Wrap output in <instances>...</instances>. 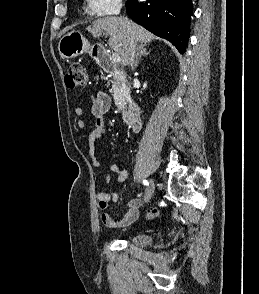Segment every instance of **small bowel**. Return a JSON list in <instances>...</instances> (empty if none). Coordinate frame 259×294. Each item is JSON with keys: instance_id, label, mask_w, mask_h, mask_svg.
<instances>
[{"instance_id": "obj_1", "label": "small bowel", "mask_w": 259, "mask_h": 294, "mask_svg": "<svg viewBox=\"0 0 259 294\" xmlns=\"http://www.w3.org/2000/svg\"><path fill=\"white\" fill-rule=\"evenodd\" d=\"M111 106V98L105 92H98L93 98L91 105V115L94 118V127L87 133L88 155L92 164L97 168H105L106 174L104 176V182L108 184L110 182V176L108 173L116 174L118 182H125L129 179V172L127 170H121L116 164H111L105 167L95 156L96 142L101 138L105 132L104 116L108 112ZM74 114L77 117L83 115V109L80 107L75 108ZM77 126L80 129H85V122L82 119L77 121ZM99 208L102 210L101 220L103 224L114 230L123 229L132 224L139 215V208L141 207V199L136 197L131 199L127 203V211L120 219H114L108 212L109 203L115 201L117 198L112 192L101 191L98 194Z\"/></svg>"}]
</instances>
